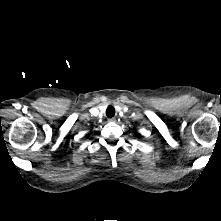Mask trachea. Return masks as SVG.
Returning <instances> with one entry per match:
<instances>
[{
    "label": "trachea",
    "instance_id": "trachea-1",
    "mask_svg": "<svg viewBox=\"0 0 221 221\" xmlns=\"http://www.w3.org/2000/svg\"><path fill=\"white\" fill-rule=\"evenodd\" d=\"M107 117L111 118L115 115V109L113 106H109L106 110Z\"/></svg>",
    "mask_w": 221,
    "mask_h": 221
}]
</instances>
